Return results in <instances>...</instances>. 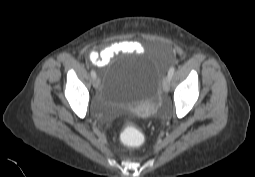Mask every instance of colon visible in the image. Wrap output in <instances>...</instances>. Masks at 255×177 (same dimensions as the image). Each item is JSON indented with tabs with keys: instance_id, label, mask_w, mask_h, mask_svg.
I'll return each instance as SVG.
<instances>
[{
	"instance_id": "5ec220e1",
	"label": "colon",
	"mask_w": 255,
	"mask_h": 177,
	"mask_svg": "<svg viewBox=\"0 0 255 177\" xmlns=\"http://www.w3.org/2000/svg\"><path fill=\"white\" fill-rule=\"evenodd\" d=\"M142 134L133 127L126 128L121 134V141L128 147H138L142 142Z\"/></svg>"
}]
</instances>
